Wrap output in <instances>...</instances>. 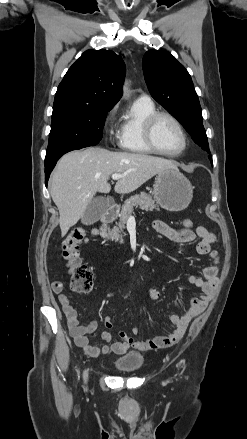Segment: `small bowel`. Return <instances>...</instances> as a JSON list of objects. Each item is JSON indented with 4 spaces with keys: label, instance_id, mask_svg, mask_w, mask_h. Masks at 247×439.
I'll return each mask as SVG.
<instances>
[{
    "label": "small bowel",
    "instance_id": "small-bowel-1",
    "mask_svg": "<svg viewBox=\"0 0 247 439\" xmlns=\"http://www.w3.org/2000/svg\"><path fill=\"white\" fill-rule=\"evenodd\" d=\"M153 228L158 234L177 244H186L194 241L196 238L199 239L196 246L197 253L207 256L212 261L210 266L204 268L202 277L196 274L189 276V282L201 290V295L190 301L187 310L181 316L172 315L169 317V321L174 326L171 334L140 341L128 336L125 331H120L119 336L124 339V341H112L111 334L108 331H103L102 338L108 344L99 346L89 341V335L98 328V320L93 319L87 325H80L77 318V311L73 308L69 298L63 292V283L61 281H54L52 283V290L57 295L61 304L69 333L73 337L75 344L83 349L86 355L99 357L110 352L120 355L130 348L146 351L171 347L183 337L191 320L203 311L211 300L214 289L218 283L217 275L220 260L218 252L212 250V244L215 242L214 234L204 226H198L195 231L188 228L175 229L161 220H155L153 222ZM150 297L152 299H158L159 291L155 287L150 289ZM105 326L107 328L113 326L110 317L105 319ZM138 332L139 328L133 326L131 329L132 335L136 336Z\"/></svg>",
    "mask_w": 247,
    "mask_h": 439
}]
</instances>
